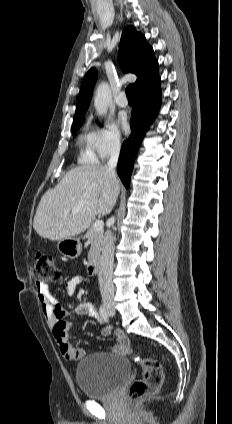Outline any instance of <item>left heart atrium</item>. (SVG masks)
<instances>
[{
	"mask_svg": "<svg viewBox=\"0 0 232 424\" xmlns=\"http://www.w3.org/2000/svg\"><path fill=\"white\" fill-rule=\"evenodd\" d=\"M119 122H120V125L122 127V130L124 132H128L129 131V124H128L127 118L125 116H121L120 119H119Z\"/></svg>",
	"mask_w": 232,
	"mask_h": 424,
	"instance_id": "obj_1",
	"label": "left heart atrium"
}]
</instances>
